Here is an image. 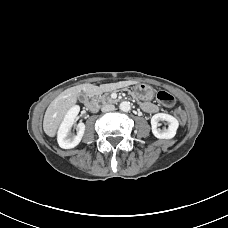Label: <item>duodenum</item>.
<instances>
[{
    "instance_id": "obj_1",
    "label": "duodenum",
    "mask_w": 228,
    "mask_h": 228,
    "mask_svg": "<svg viewBox=\"0 0 228 228\" xmlns=\"http://www.w3.org/2000/svg\"><path fill=\"white\" fill-rule=\"evenodd\" d=\"M85 103H86V106L92 111H95L98 108L97 100L95 99L92 93H88L86 95Z\"/></svg>"
}]
</instances>
